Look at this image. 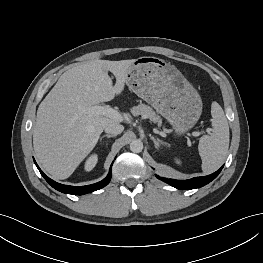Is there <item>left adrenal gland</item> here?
<instances>
[{
	"label": "left adrenal gland",
	"instance_id": "1",
	"mask_svg": "<svg viewBox=\"0 0 263 263\" xmlns=\"http://www.w3.org/2000/svg\"><path fill=\"white\" fill-rule=\"evenodd\" d=\"M151 140L154 143L155 148L159 149L160 146H166L167 144L165 142H163L162 140H160L159 138H155L153 136H150Z\"/></svg>",
	"mask_w": 263,
	"mask_h": 263
}]
</instances>
